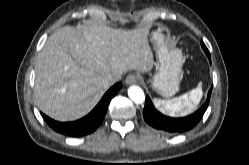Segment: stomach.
Here are the masks:
<instances>
[{"label": "stomach", "mask_w": 249, "mask_h": 165, "mask_svg": "<svg viewBox=\"0 0 249 165\" xmlns=\"http://www.w3.org/2000/svg\"><path fill=\"white\" fill-rule=\"evenodd\" d=\"M150 40L157 55L156 73L151 85L160 95L170 97L179 90L184 63L182 51L171 47L160 31L151 32Z\"/></svg>", "instance_id": "stomach-1"}]
</instances>
